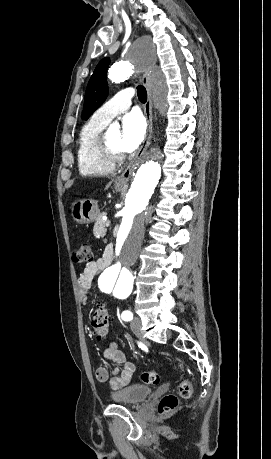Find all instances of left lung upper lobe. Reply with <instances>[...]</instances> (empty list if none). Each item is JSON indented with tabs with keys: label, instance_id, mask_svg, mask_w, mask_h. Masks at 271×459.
<instances>
[{
	"label": "left lung upper lobe",
	"instance_id": "5c2ea615",
	"mask_svg": "<svg viewBox=\"0 0 271 459\" xmlns=\"http://www.w3.org/2000/svg\"><path fill=\"white\" fill-rule=\"evenodd\" d=\"M109 62L108 58L102 59L89 80L82 110V118L85 120L102 105L108 95L106 73Z\"/></svg>",
	"mask_w": 271,
	"mask_h": 459
}]
</instances>
